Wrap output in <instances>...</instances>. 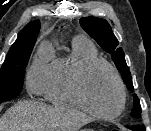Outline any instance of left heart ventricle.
I'll return each instance as SVG.
<instances>
[{
	"instance_id": "1",
	"label": "left heart ventricle",
	"mask_w": 151,
	"mask_h": 131,
	"mask_svg": "<svg viewBox=\"0 0 151 131\" xmlns=\"http://www.w3.org/2000/svg\"><path fill=\"white\" fill-rule=\"evenodd\" d=\"M85 93L92 107L104 114L115 112L120 103L118 85L105 67L94 69L85 83Z\"/></svg>"
}]
</instances>
